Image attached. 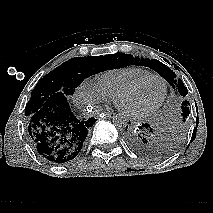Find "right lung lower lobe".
Segmentation results:
<instances>
[{"mask_svg": "<svg viewBox=\"0 0 213 213\" xmlns=\"http://www.w3.org/2000/svg\"><path fill=\"white\" fill-rule=\"evenodd\" d=\"M96 121L95 118L87 121L77 118L67 97L58 92L26 119V128L41 158L52 164H63L82 152L88 130Z\"/></svg>", "mask_w": 213, "mask_h": 213, "instance_id": "right-lung-lower-lobe-1", "label": "right lung lower lobe"}]
</instances>
